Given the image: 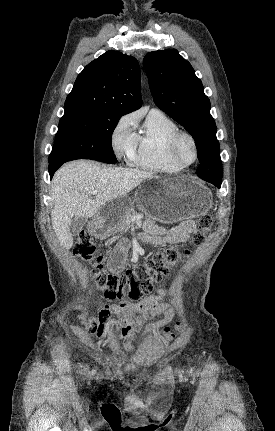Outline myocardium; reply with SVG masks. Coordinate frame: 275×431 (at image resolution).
Segmentation results:
<instances>
[{
	"mask_svg": "<svg viewBox=\"0 0 275 431\" xmlns=\"http://www.w3.org/2000/svg\"><path fill=\"white\" fill-rule=\"evenodd\" d=\"M183 138L188 139L193 147V159L189 163H184L178 155V145L181 139ZM168 154L171 160L179 167L187 168L192 166L198 160V156H199L198 144L195 137L188 131H184V130L177 131L169 141Z\"/></svg>",
	"mask_w": 275,
	"mask_h": 431,
	"instance_id": "obj_1",
	"label": "myocardium"
}]
</instances>
